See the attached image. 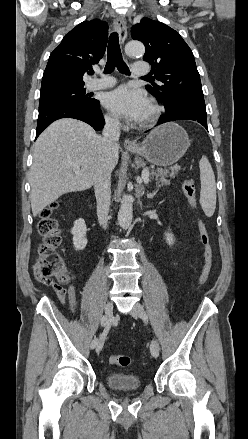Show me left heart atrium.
Wrapping results in <instances>:
<instances>
[{
  "label": "left heart atrium",
  "mask_w": 248,
  "mask_h": 439,
  "mask_svg": "<svg viewBox=\"0 0 248 439\" xmlns=\"http://www.w3.org/2000/svg\"><path fill=\"white\" fill-rule=\"evenodd\" d=\"M103 103L111 112L130 121L143 120L149 110L145 94L127 85L107 93Z\"/></svg>",
  "instance_id": "left-heart-atrium-1"
}]
</instances>
